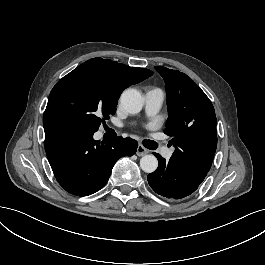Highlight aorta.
<instances>
[{
  "instance_id": "1",
  "label": "aorta",
  "mask_w": 265,
  "mask_h": 265,
  "mask_svg": "<svg viewBox=\"0 0 265 265\" xmlns=\"http://www.w3.org/2000/svg\"><path fill=\"white\" fill-rule=\"evenodd\" d=\"M120 104L127 112L135 114L141 111L144 97L139 90L128 88L121 94ZM140 167L145 173H153L158 167L157 158L154 155L143 156L140 159Z\"/></svg>"
}]
</instances>
